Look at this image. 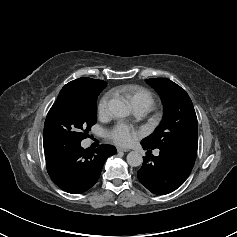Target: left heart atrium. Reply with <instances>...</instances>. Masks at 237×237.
<instances>
[{
	"label": "left heart atrium",
	"instance_id": "left-heart-atrium-1",
	"mask_svg": "<svg viewBox=\"0 0 237 237\" xmlns=\"http://www.w3.org/2000/svg\"><path fill=\"white\" fill-rule=\"evenodd\" d=\"M110 139L120 146H130L140 137V133L126 124H118L109 132Z\"/></svg>",
	"mask_w": 237,
	"mask_h": 237
}]
</instances>
